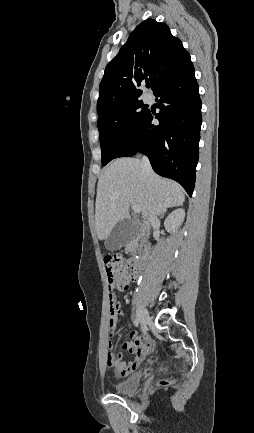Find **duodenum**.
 I'll return each mask as SVG.
<instances>
[{
  "label": "duodenum",
  "mask_w": 254,
  "mask_h": 433,
  "mask_svg": "<svg viewBox=\"0 0 254 433\" xmlns=\"http://www.w3.org/2000/svg\"><path fill=\"white\" fill-rule=\"evenodd\" d=\"M130 250L136 252L138 250L139 256L131 258V275L133 280H137L141 274L146 256L147 250L145 248H141L140 250L135 245L130 246Z\"/></svg>",
  "instance_id": "duodenum-1"
}]
</instances>
